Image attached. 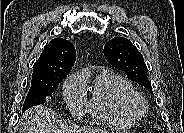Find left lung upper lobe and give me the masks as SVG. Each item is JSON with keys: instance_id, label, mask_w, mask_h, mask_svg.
I'll use <instances>...</instances> for the list:
<instances>
[{"instance_id": "obj_1", "label": "left lung upper lobe", "mask_w": 184, "mask_h": 133, "mask_svg": "<svg viewBox=\"0 0 184 133\" xmlns=\"http://www.w3.org/2000/svg\"><path fill=\"white\" fill-rule=\"evenodd\" d=\"M104 55L111 65L123 71L130 80L141 84L153 94L143 56L130 40L122 37L110 40L104 46Z\"/></svg>"}]
</instances>
